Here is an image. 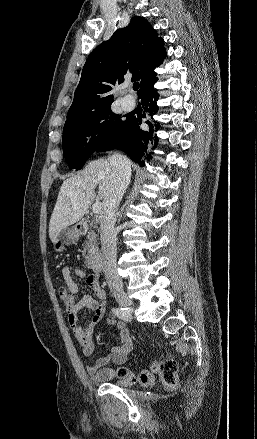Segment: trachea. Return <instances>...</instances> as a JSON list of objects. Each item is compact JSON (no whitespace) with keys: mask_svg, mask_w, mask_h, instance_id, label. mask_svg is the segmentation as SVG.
<instances>
[{"mask_svg":"<svg viewBox=\"0 0 257 439\" xmlns=\"http://www.w3.org/2000/svg\"><path fill=\"white\" fill-rule=\"evenodd\" d=\"M138 88H139V83L138 82H134L133 83V89L134 90H138Z\"/></svg>","mask_w":257,"mask_h":439,"instance_id":"1","label":"trachea"}]
</instances>
